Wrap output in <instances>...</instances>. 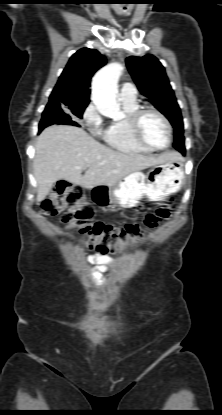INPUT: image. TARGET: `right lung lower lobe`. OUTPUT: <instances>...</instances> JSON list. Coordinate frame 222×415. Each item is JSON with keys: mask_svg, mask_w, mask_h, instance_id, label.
I'll use <instances>...</instances> for the list:
<instances>
[{"mask_svg": "<svg viewBox=\"0 0 222 415\" xmlns=\"http://www.w3.org/2000/svg\"><path fill=\"white\" fill-rule=\"evenodd\" d=\"M52 124H70L79 126L76 122L69 120L68 116L63 112L52 111L48 112L44 110L42 114V119L39 124V132H41L45 127L52 125Z\"/></svg>", "mask_w": 222, "mask_h": 415, "instance_id": "obj_1", "label": "right lung lower lobe"}]
</instances>
